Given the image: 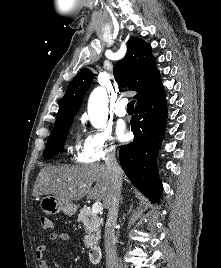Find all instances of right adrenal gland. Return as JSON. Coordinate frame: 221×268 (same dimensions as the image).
I'll list each match as a JSON object with an SVG mask.
<instances>
[{
	"mask_svg": "<svg viewBox=\"0 0 221 268\" xmlns=\"http://www.w3.org/2000/svg\"><path fill=\"white\" fill-rule=\"evenodd\" d=\"M122 201H123V197H121V203H122Z\"/></svg>",
	"mask_w": 221,
	"mask_h": 268,
	"instance_id": "1",
	"label": "right adrenal gland"
}]
</instances>
